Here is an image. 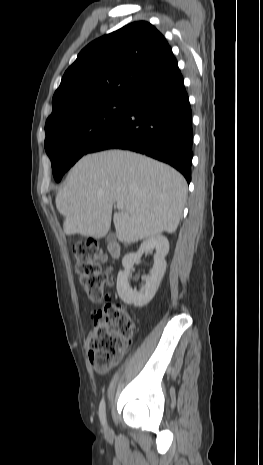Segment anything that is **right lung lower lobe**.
<instances>
[{
  "mask_svg": "<svg viewBox=\"0 0 263 465\" xmlns=\"http://www.w3.org/2000/svg\"><path fill=\"white\" fill-rule=\"evenodd\" d=\"M192 112L179 68L137 90L124 118L89 153L111 148L143 153L191 180Z\"/></svg>",
  "mask_w": 263,
  "mask_h": 465,
  "instance_id": "right-lung-lower-lobe-1",
  "label": "right lung lower lobe"
}]
</instances>
